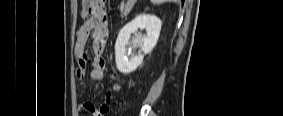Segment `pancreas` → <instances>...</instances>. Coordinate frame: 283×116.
I'll list each match as a JSON object with an SVG mask.
<instances>
[{"mask_svg": "<svg viewBox=\"0 0 283 116\" xmlns=\"http://www.w3.org/2000/svg\"><path fill=\"white\" fill-rule=\"evenodd\" d=\"M130 10H131V8L128 5H126L125 7H121L120 8L121 17L127 16L129 14Z\"/></svg>", "mask_w": 283, "mask_h": 116, "instance_id": "1", "label": "pancreas"}]
</instances>
